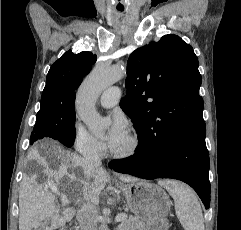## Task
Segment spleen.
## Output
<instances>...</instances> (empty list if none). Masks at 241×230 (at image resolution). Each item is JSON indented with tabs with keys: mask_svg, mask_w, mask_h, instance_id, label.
Instances as JSON below:
<instances>
[{
	"mask_svg": "<svg viewBox=\"0 0 241 230\" xmlns=\"http://www.w3.org/2000/svg\"><path fill=\"white\" fill-rule=\"evenodd\" d=\"M174 200L176 215L185 230H205L203 213L194 191L177 181H160Z\"/></svg>",
	"mask_w": 241,
	"mask_h": 230,
	"instance_id": "obj_1",
	"label": "spleen"
}]
</instances>
